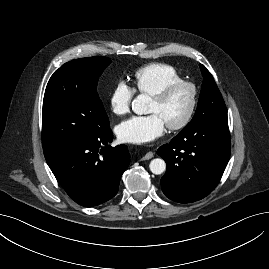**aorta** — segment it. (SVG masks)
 Here are the masks:
<instances>
[{
  "label": "aorta",
  "instance_id": "aorta-1",
  "mask_svg": "<svg viewBox=\"0 0 269 269\" xmlns=\"http://www.w3.org/2000/svg\"><path fill=\"white\" fill-rule=\"evenodd\" d=\"M149 102V97L147 95H138L132 101V110L138 115L147 113V104ZM150 171L153 174L160 175L166 170V163L161 158L153 159L149 164Z\"/></svg>",
  "mask_w": 269,
  "mask_h": 269
}]
</instances>
